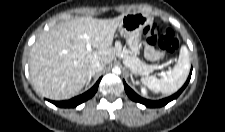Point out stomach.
Wrapping results in <instances>:
<instances>
[{"label":"stomach","instance_id":"0dacf381","mask_svg":"<svg viewBox=\"0 0 225 132\" xmlns=\"http://www.w3.org/2000/svg\"><path fill=\"white\" fill-rule=\"evenodd\" d=\"M150 23V18L143 13L126 14L120 25L119 31L125 35L127 45L133 55L139 53L141 47V31Z\"/></svg>","mask_w":225,"mask_h":132}]
</instances>
